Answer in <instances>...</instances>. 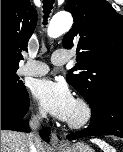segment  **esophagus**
<instances>
[{
  "mask_svg": "<svg viewBox=\"0 0 123 152\" xmlns=\"http://www.w3.org/2000/svg\"><path fill=\"white\" fill-rule=\"evenodd\" d=\"M50 143L53 147H61L62 146V142L61 140L58 138L57 134L55 132H53L51 134V139H50Z\"/></svg>",
  "mask_w": 123,
  "mask_h": 152,
  "instance_id": "1",
  "label": "esophagus"
}]
</instances>
